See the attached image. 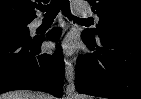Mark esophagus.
I'll list each match as a JSON object with an SVG mask.
<instances>
[{"instance_id":"esophagus-1","label":"esophagus","mask_w":141,"mask_h":99,"mask_svg":"<svg viewBox=\"0 0 141 99\" xmlns=\"http://www.w3.org/2000/svg\"><path fill=\"white\" fill-rule=\"evenodd\" d=\"M65 77L68 83L66 86V94L68 96H71L74 94L75 86H74V67L73 63L70 60H67L65 64Z\"/></svg>"}]
</instances>
